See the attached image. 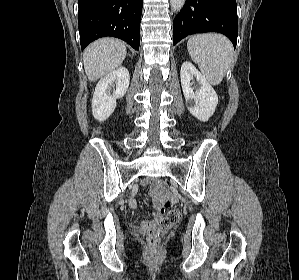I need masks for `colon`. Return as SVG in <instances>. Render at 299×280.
I'll use <instances>...</instances> for the list:
<instances>
[{
  "instance_id": "colon-1",
  "label": "colon",
  "mask_w": 299,
  "mask_h": 280,
  "mask_svg": "<svg viewBox=\"0 0 299 280\" xmlns=\"http://www.w3.org/2000/svg\"><path fill=\"white\" fill-rule=\"evenodd\" d=\"M160 188L162 191L165 190V184L161 182ZM181 214L179 210L171 208L170 204L167 202L165 204V211L159 213L155 219L154 224L148 230V241L152 246H156L161 231L167 229L180 221Z\"/></svg>"
}]
</instances>
